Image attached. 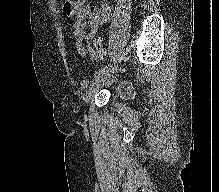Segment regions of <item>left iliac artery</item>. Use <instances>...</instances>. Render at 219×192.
Returning a JSON list of instances; mask_svg holds the SVG:
<instances>
[{"label": "left iliac artery", "instance_id": "obj_1", "mask_svg": "<svg viewBox=\"0 0 219 192\" xmlns=\"http://www.w3.org/2000/svg\"><path fill=\"white\" fill-rule=\"evenodd\" d=\"M109 67H110V65L104 66V67H102L101 69H99V70L94 74V78H95L96 76H99V75L103 74L104 72H106V71L109 69ZM87 85H88V81H84L83 87H86Z\"/></svg>", "mask_w": 219, "mask_h": 192}]
</instances>
